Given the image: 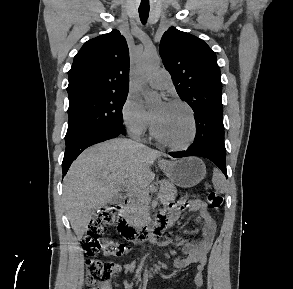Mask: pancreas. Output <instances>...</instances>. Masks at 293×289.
I'll return each instance as SVG.
<instances>
[{"instance_id":"obj_1","label":"pancreas","mask_w":293,"mask_h":289,"mask_svg":"<svg viewBox=\"0 0 293 289\" xmlns=\"http://www.w3.org/2000/svg\"><path fill=\"white\" fill-rule=\"evenodd\" d=\"M159 196L162 201L174 200L177 195V190L173 183L169 181L160 182ZM150 197L148 192H140L134 194L130 203L124 211L128 221L136 227L143 226L149 220L148 204Z\"/></svg>"}]
</instances>
